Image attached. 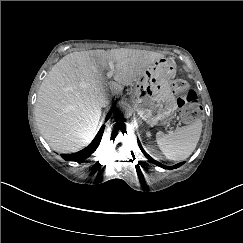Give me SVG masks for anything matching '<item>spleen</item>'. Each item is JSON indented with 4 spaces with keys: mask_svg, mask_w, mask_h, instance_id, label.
<instances>
[{
    "mask_svg": "<svg viewBox=\"0 0 243 243\" xmlns=\"http://www.w3.org/2000/svg\"><path fill=\"white\" fill-rule=\"evenodd\" d=\"M202 132L201 121L191 125L179 127L173 133L164 134L159 131L156 141L160 150L171 160H184L188 158L196 148Z\"/></svg>",
    "mask_w": 243,
    "mask_h": 243,
    "instance_id": "obj_1",
    "label": "spleen"
}]
</instances>
